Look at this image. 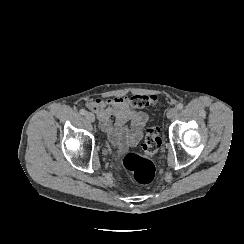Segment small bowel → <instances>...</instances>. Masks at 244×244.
<instances>
[{
	"instance_id": "1",
	"label": "small bowel",
	"mask_w": 244,
	"mask_h": 244,
	"mask_svg": "<svg viewBox=\"0 0 244 244\" xmlns=\"http://www.w3.org/2000/svg\"><path fill=\"white\" fill-rule=\"evenodd\" d=\"M86 106L95 114L100 128L117 149L125 151L142 139L149 115L134 110L128 97L96 99L87 102Z\"/></svg>"
}]
</instances>
